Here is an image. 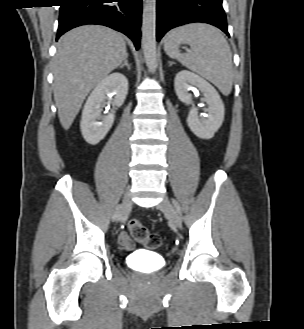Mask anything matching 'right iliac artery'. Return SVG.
<instances>
[{
  "label": "right iliac artery",
  "instance_id": "right-iliac-artery-1",
  "mask_svg": "<svg viewBox=\"0 0 304 329\" xmlns=\"http://www.w3.org/2000/svg\"><path fill=\"white\" fill-rule=\"evenodd\" d=\"M121 204L120 205H118L117 207H116V210H115V212H114V214H113V216H112V219L113 220H116V218H117V216H118V214H119V211H120V209H121Z\"/></svg>",
  "mask_w": 304,
  "mask_h": 329
}]
</instances>
